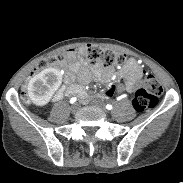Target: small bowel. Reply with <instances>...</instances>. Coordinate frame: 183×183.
Here are the masks:
<instances>
[{"label":"small bowel","mask_w":183,"mask_h":183,"mask_svg":"<svg viewBox=\"0 0 183 183\" xmlns=\"http://www.w3.org/2000/svg\"><path fill=\"white\" fill-rule=\"evenodd\" d=\"M74 69L80 71L84 81H110L115 73L112 68L102 67H86L82 65L75 66ZM118 76L124 80L126 92H132L141 83L142 72L134 59H130L125 66L119 71ZM64 95V89L59 90L55 95V100L62 98ZM106 95H108L106 93Z\"/></svg>","instance_id":"small-bowel-1"}]
</instances>
